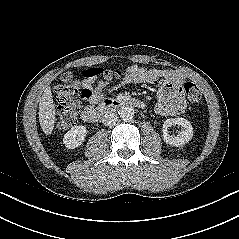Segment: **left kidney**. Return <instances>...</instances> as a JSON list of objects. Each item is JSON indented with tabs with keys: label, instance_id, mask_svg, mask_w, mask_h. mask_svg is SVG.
Segmentation results:
<instances>
[{
	"label": "left kidney",
	"instance_id": "5707ae66",
	"mask_svg": "<svg viewBox=\"0 0 239 239\" xmlns=\"http://www.w3.org/2000/svg\"><path fill=\"white\" fill-rule=\"evenodd\" d=\"M172 125L181 126V131L176 136L169 135L168 129ZM163 140L172 146H181L188 143L193 137V127L191 123L182 117L167 119L163 124Z\"/></svg>",
	"mask_w": 239,
	"mask_h": 239
}]
</instances>
